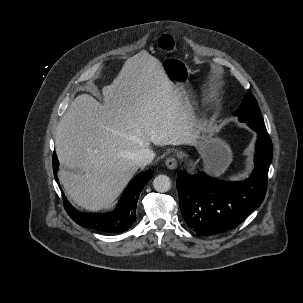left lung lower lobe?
Listing matches in <instances>:
<instances>
[{"label":"left lung lower lobe","instance_id":"1","mask_svg":"<svg viewBox=\"0 0 303 303\" xmlns=\"http://www.w3.org/2000/svg\"><path fill=\"white\" fill-rule=\"evenodd\" d=\"M257 132L255 168L241 182H225L207 176L178 173L179 205L187 225L199 236H211L236 228L258 208L265 196L268 170L272 160V142L267 133L254 124Z\"/></svg>","mask_w":303,"mask_h":303}]
</instances>
